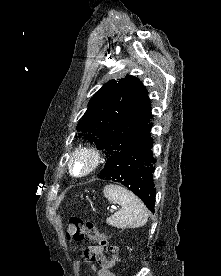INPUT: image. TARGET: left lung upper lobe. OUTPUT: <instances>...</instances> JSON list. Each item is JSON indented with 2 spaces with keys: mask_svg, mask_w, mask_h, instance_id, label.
I'll use <instances>...</instances> for the list:
<instances>
[{
  "mask_svg": "<svg viewBox=\"0 0 221 276\" xmlns=\"http://www.w3.org/2000/svg\"><path fill=\"white\" fill-rule=\"evenodd\" d=\"M151 119L145 86L128 75L108 81L93 95L77 125L78 136L95 143L109 159L130 146Z\"/></svg>",
  "mask_w": 221,
  "mask_h": 276,
  "instance_id": "5c2ea615",
  "label": "left lung upper lobe"
}]
</instances>
